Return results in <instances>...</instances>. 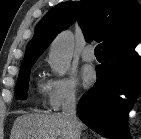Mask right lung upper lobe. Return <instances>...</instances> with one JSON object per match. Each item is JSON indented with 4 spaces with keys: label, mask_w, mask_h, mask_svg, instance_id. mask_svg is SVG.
<instances>
[{
    "label": "right lung upper lobe",
    "mask_w": 141,
    "mask_h": 139,
    "mask_svg": "<svg viewBox=\"0 0 141 139\" xmlns=\"http://www.w3.org/2000/svg\"><path fill=\"white\" fill-rule=\"evenodd\" d=\"M76 19L86 41H103V50L141 32V5L137 0H81L56 5L37 25L21 68L33 65L55 36Z\"/></svg>",
    "instance_id": "cb5924a9"
}]
</instances>
